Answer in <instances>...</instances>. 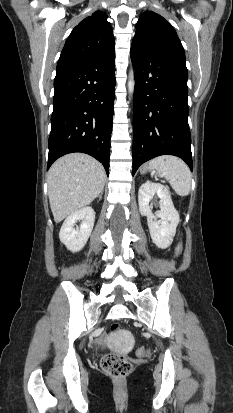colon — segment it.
<instances>
[{"label": "colon", "instance_id": "5ec220e1", "mask_svg": "<svg viewBox=\"0 0 233 413\" xmlns=\"http://www.w3.org/2000/svg\"><path fill=\"white\" fill-rule=\"evenodd\" d=\"M181 246L179 245L176 249V255L180 253ZM113 332L119 330V325L114 324L111 326ZM138 354L140 356H146L148 350L144 347L138 349ZM101 367L104 372L112 378L122 379L126 377L131 369V363L124 357L115 354H106L101 360Z\"/></svg>", "mask_w": 233, "mask_h": 413}]
</instances>
